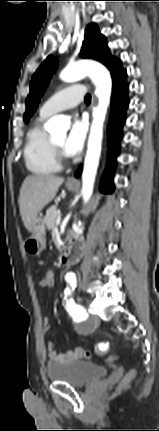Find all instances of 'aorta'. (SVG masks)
I'll return each mask as SVG.
<instances>
[{
    "mask_svg": "<svg viewBox=\"0 0 159 431\" xmlns=\"http://www.w3.org/2000/svg\"><path fill=\"white\" fill-rule=\"evenodd\" d=\"M85 76H89L95 84V94L99 100L98 106L93 111V122L82 174V196L84 203H87L93 193L96 171L99 164L103 123L111 95V77L103 65L92 61H81L70 64L60 74V78L65 82H75ZM46 128L51 133L58 131L65 133L68 129V124L64 118L56 116L49 120ZM73 278V273H67V280Z\"/></svg>",
    "mask_w": 159,
    "mask_h": 431,
    "instance_id": "aorta-1",
    "label": "aorta"
}]
</instances>
